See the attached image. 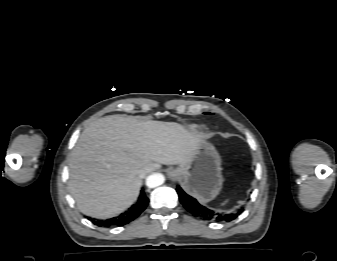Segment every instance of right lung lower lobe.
Masks as SVG:
<instances>
[{"label": "right lung lower lobe", "mask_w": 337, "mask_h": 261, "mask_svg": "<svg viewBox=\"0 0 337 261\" xmlns=\"http://www.w3.org/2000/svg\"><path fill=\"white\" fill-rule=\"evenodd\" d=\"M149 199L146 197L144 191H141V194L138 198V201L132 205L127 211L123 212L121 215L107 219V220H95L94 224L104 227H114V226H123L128 224L137 218L142 211L148 205Z\"/></svg>", "instance_id": "right-lung-lower-lobe-1"}]
</instances>
